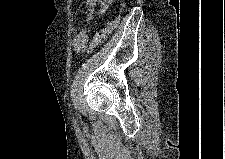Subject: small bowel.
Segmentation results:
<instances>
[{"label": "small bowel", "mask_w": 225, "mask_h": 159, "mask_svg": "<svg viewBox=\"0 0 225 159\" xmlns=\"http://www.w3.org/2000/svg\"><path fill=\"white\" fill-rule=\"evenodd\" d=\"M113 0H102L100 2V7H99V13L101 15H104L108 12L112 5ZM96 7V0H88L86 4V11H87V17H86V23H89L94 14V10ZM88 31L86 29V26L81 28L80 30L77 31L75 34V37L73 39V49L77 53H83L87 47L88 44Z\"/></svg>", "instance_id": "obj_1"}]
</instances>
